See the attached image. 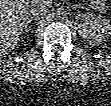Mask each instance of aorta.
<instances>
[{
	"label": "aorta",
	"instance_id": "aorta-1",
	"mask_svg": "<svg viewBox=\"0 0 111 106\" xmlns=\"http://www.w3.org/2000/svg\"><path fill=\"white\" fill-rule=\"evenodd\" d=\"M66 12L63 10V9H58V11H57V13H56V17L58 18V19H61V20H63V19H65L66 18Z\"/></svg>",
	"mask_w": 111,
	"mask_h": 106
}]
</instances>
